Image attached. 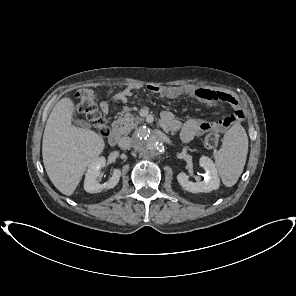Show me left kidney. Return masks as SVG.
Instances as JSON below:
<instances>
[{
  "instance_id": "5707ae66",
  "label": "left kidney",
  "mask_w": 296,
  "mask_h": 296,
  "mask_svg": "<svg viewBox=\"0 0 296 296\" xmlns=\"http://www.w3.org/2000/svg\"><path fill=\"white\" fill-rule=\"evenodd\" d=\"M199 164L206 171L204 181L190 182L188 180V175L184 172H180L177 175V180L181 187L191 193L210 192L218 189L220 179L213 161L206 156H202L199 160Z\"/></svg>"
}]
</instances>
